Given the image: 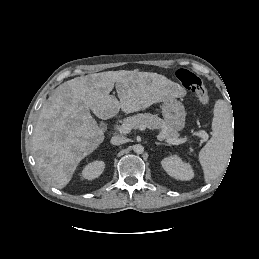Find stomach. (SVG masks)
<instances>
[{
    "label": "stomach",
    "mask_w": 259,
    "mask_h": 259,
    "mask_svg": "<svg viewBox=\"0 0 259 259\" xmlns=\"http://www.w3.org/2000/svg\"><path fill=\"white\" fill-rule=\"evenodd\" d=\"M162 115L164 120L172 125L176 131H182L185 127V108L181 102L175 98L164 101L162 105Z\"/></svg>",
    "instance_id": "0dacf381"
}]
</instances>
